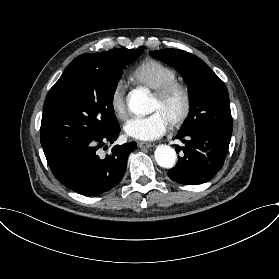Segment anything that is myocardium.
Wrapping results in <instances>:
<instances>
[{
  "label": "myocardium",
  "mask_w": 279,
  "mask_h": 279,
  "mask_svg": "<svg viewBox=\"0 0 279 279\" xmlns=\"http://www.w3.org/2000/svg\"><path fill=\"white\" fill-rule=\"evenodd\" d=\"M174 94H179L181 96L183 106L179 115L170 123V125L173 128H179L188 119L192 109V96L188 85L183 81L175 80L166 83L154 92V96L158 100H166Z\"/></svg>",
  "instance_id": "1"
}]
</instances>
